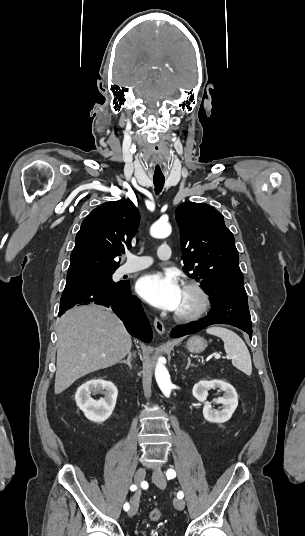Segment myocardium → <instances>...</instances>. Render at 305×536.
Here are the masks:
<instances>
[{"label":"myocardium","instance_id":"1","mask_svg":"<svg viewBox=\"0 0 305 536\" xmlns=\"http://www.w3.org/2000/svg\"><path fill=\"white\" fill-rule=\"evenodd\" d=\"M183 289L194 292L199 299L197 308L190 311L176 310L174 318L181 321L195 320L207 314L213 304L212 296L207 287L199 281L189 280L183 284Z\"/></svg>","mask_w":305,"mask_h":536}]
</instances>
